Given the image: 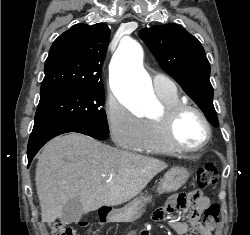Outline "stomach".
Returning a JSON list of instances; mask_svg holds the SVG:
<instances>
[{"label": "stomach", "mask_w": 250, "mask_h": 235, "mask_svg": "<svg viewBox=\"0 0 250 235\" xmlns=\"http://www.w3.org/2000/svg\"><path fill=\"white\" fill-rule=\"evenodd\" d=\"M189 171L185 167L177 166L171 168L161 180L158 194L172 193L178 191L188 180ZM149 197H138L128 203L125 207L117 210L112 220L117 222H132L141 216V210Z\"/></svg>", "instance_id": "stomach-1"}]
</instances>
